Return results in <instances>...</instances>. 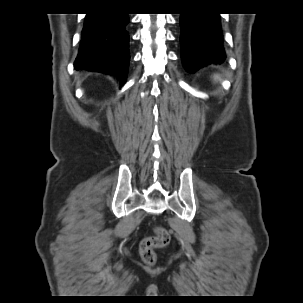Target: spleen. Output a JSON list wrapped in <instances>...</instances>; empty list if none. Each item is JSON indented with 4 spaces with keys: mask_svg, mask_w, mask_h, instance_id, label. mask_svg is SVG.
<instances>
[{
    "mask_svg": "<svg viewBox=\"0 0 303 303\" xmlns=\"http://www.w3.org/2000/svg\"><path fill=\"white\" fill-rule=\"evenodd\" d=\"M215 79H219V77L216 75L215 77H214Z\"/></svg>",
    "mask_w": 303,
    "mask_h": 303,
    "instance_id": "1",
    "label": "spleen"
}]
</instances>
